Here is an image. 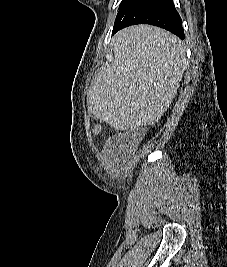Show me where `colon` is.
I'll use <instances>...</instances> for the list:
<instances>
[{"instance_id":"colon-1","label":"colon","mask_w":227,"mask_h":267,"mask_svg":"<svg viewBox=\"0 0 227 267\" xmlns=\"http://www.w3.org/2000/svg\"><path fill=\"white\" fill-rule=\"evenodd\" d=\"M92 132L94 134H99L101 132V126L99 124H94L92 127ZM144 138L143 130H135L124 136L122 140L126 143L127 146H134Z\"/></svg>"}]
</instances>
